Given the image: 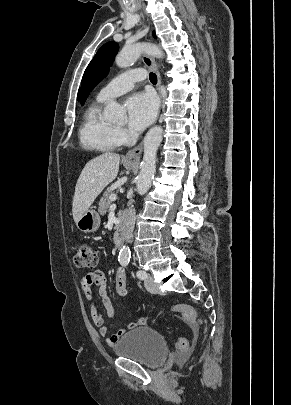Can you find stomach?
I'll use <instances>...</instances> for the list:
<instances>
[{
	"label": "stomach",
	"mask_w": 291,
	"mask_h": 405,
	"mask_svg": "<svg viewBox=\"0 0 291 405\" xmlns=\"http://www.w3.org/2000/svg\"><path fill=\"white\" fill-rule=\"evenodd\" d=\"M77 228L85 233L95 232L100 226V216L94 209H88L76 223Z\"/></svg>",
	"instance_id": "stomach-1"
}]
</instances>
